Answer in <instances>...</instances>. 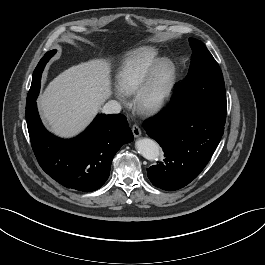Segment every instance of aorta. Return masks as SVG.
Returning a JSON list of instances; mask_svg holds the SVG:
<instances>
[{"label":"aorta","instance_id":"762f6f07","mask_svg":"<svg viewBox=\"0 0 265 265\" xmlns=\"http://www.w3.org/2000/svg\"><path fill=\"white\" fill-rule=\"evenodd\" d=\"M135 146L138 153L141 154L147 160H157L160 155V147L152 139H139L136 141Z\"/></svg>","mask_w":265,"mask_h":265}]
</instances>
